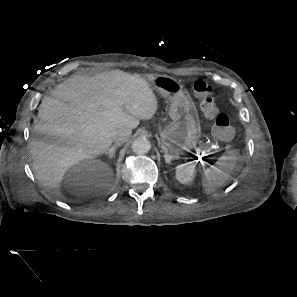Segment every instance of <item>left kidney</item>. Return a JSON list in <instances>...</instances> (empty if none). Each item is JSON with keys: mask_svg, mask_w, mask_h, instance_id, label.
<instances>
[{"mask_svg": "<svg viewBox=\"0 0 297 297\" xmlns=\"http://www.w3.org/2000/svg\"><path fill=\"white\" fill-rule=\"evenodd\" d=\"M195 176V165L193 163L181 164L176 167V178L182 184L191 183Z\"/></svg>", "mask_w": 297, "mask_h": 297, "instance_id": "1", "label": "left kidney"}]
</instances>
